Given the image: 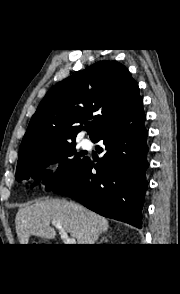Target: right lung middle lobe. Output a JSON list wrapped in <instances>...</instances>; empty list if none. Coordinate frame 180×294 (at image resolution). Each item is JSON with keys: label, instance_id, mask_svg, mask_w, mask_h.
<instances>
[{"label": "right lung middle lobe", "instance_id": "right-lung-middle-lobe-1", "mask_svg": "<svg viewBox=\"0 0 180 294\" xmlns=\"http://www.w3.org/2000/svg\"><path fill=\"white\" fill-rule=\"evenodd\" d=\"M77 153L75 142L48 147L35 152L29 158L18 162L16 179L21 181L30 177L37 184L41 179L46 183V190H53L69 181L79 171L87 158ZM60 162L57 171L52 174L45 171L50 164Z\"/></svg>", "mask_w": 180, "mask_h": 294}]
</instances>
